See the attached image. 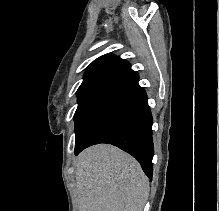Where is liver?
<instances>
[{"instance_id": "6515ba94", "label": "liver", "mask_w": 219, "mask_h": 211, "mask_svg": "<svg viewBox=\"0 0 219 211\" xmlns=\"http://www.w3.org/2000/svg\"><path fill=\"white\" fill-rule=\"evenodd\" d=\"M79 211H142L149 179L132 155L109 143L91 145L77 155Z\"/></svg>"}]
</instances>
